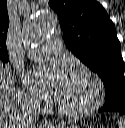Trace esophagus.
Here are the masks:
<instances>
[{"label": "esophagus", "mask_w": 125, "mask_h": 128, "mask_svg": "<svg viewBox=\"0 0 125 128\" xmlns=\"http://www.w3.org/2000/svg\"><path fill=\"white\" fill-rule=\"evenodd\" d=\"M45 126L46 127H50L51 126V123H46Z\"/></svg>", "instance_id": "34e87169"}]
</instances>
